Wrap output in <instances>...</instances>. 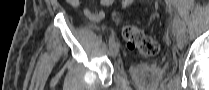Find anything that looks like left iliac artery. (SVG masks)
<instances>
[{"label": "left iliac artery", "instance_id": "obj_1", "mask_svg": "<svg viewBox=\"0 0 209 90\" xmlns=\"http://www.w3.org/2000/svg\"><path fill=\"white\" fill-rule=\"evenodd\" d=\"M168 2L173 5L174 13H176V16H179V13H177V10H179V1L178 0H168Z\"/></svg>", "mask_w": 209, "mask_h": 90}]
</instances>
